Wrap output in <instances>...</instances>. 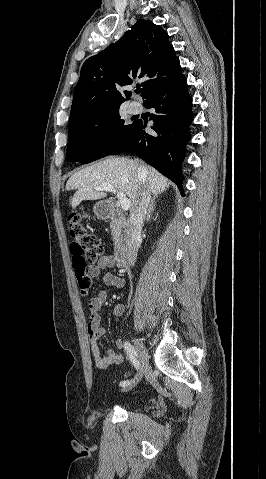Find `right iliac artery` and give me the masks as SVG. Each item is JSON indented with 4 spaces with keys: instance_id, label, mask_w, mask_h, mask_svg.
<instances>
[{
    "instance_id": "right-iliac-artery-1",
    "label": "right iliac artery",
    "mask_w": 266,
    "mask_h": 479,
    "mask_svg": "<svg viewBox=\"0 0 266 479\" xmlns=\"http://www.w3.org/2000/svg\"><path fill=\"white\" fill-rule=\"evenodd\" d=\"M124 349H125V352H126L128 358L133 363L134 367L138 370L139 361L136 358V351H135L134 347L128 341H125L124 342ZM130 383H131V381L125 380V381L120 382V386L125 387V386L129 385Z\"/></svg>"
}]
</instances>
